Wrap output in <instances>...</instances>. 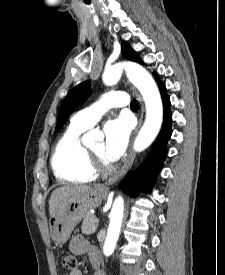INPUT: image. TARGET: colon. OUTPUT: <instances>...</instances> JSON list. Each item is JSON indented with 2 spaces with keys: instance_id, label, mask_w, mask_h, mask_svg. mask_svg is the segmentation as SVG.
Segmentation results:
<instances>
[{
  "instance_id": "5ec220e1",
  "label": "colon",
  "mask_w": 225,
  "mask_h": 275,
  "mask_svg": "<svg viewBox=\"0 0 225 275\" xmlns=\"http://www.w3.org/2000/svg\"><path fill=\"white\" fill-rule=\"evenodd\" d=\"M62 265L70 272L77 270V260L73 255H65L62 259Z\"/></svg>"
}]
</instances>
